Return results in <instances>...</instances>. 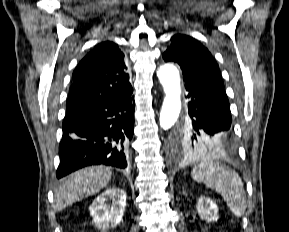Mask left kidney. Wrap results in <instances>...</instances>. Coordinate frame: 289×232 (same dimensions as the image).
Returning <instances> with one entry per match:
<instances>
[{"instance_id":"1","label":"left kidney","mask_w":289,"mask_h":232,"mask_svg":"<svg viewBox=\"0 0 289 232\" xmlns=\"http://www.w3.org/2000/svg\"><path fill=\"white\" fill-rule=\"evenodd\" d=\"M197 213L201 219L217 221L219 218L218 207L210 198L201 196L196 204Z\"/></svg>"}]
</instances>
